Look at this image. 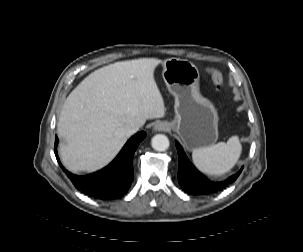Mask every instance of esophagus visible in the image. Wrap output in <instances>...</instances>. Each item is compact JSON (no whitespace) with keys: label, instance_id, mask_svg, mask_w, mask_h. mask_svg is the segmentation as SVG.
Listing matches in <instances>:
<instances>
[{"label":"esophagus","instance_id":"obj_1","mask_svg":"<svg viewBox=\"0 0 303 252\" xmlns=\"http://www.w3.org/2000/svg\"><path fill=\"white\" fill-rule=\"evenodd\" d=\"M169 128L167 123H156L154 126L155 131H165Z\"/></svg>","mask_w":303,"mask_h":252}]
</instances>
